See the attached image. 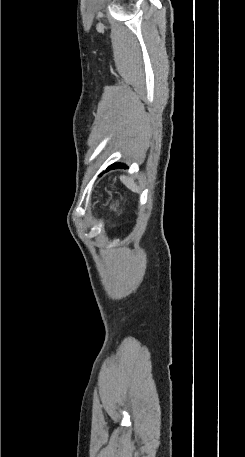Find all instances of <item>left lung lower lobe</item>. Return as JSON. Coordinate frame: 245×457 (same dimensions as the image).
<instances>
[{"instance_id":"left-lung-lower-lobe-1","label":"left lung lower lobe","mask_w":245,"mask_h":457,"mask_svg":"<svg viewBox=\"0 0 245 457\" xmlns=\"http://www.w3.org/2000/svg\"><path fill=\"white\" fill-rule=\"evenodd\" d=\"M118 167L123 168V167H126V166H124L123 164L115 163V164H112L111 166H109L105 172H107V171H109L111 169L118 168Z\"/></svg>"}]
</instances>
